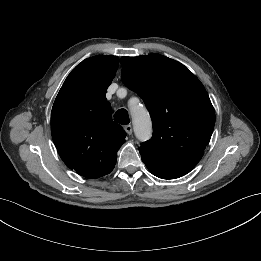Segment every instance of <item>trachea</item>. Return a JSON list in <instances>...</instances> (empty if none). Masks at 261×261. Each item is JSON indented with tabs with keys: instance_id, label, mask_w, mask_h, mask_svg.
<instances>
[{
	"instance_id": "1",
	"label": "trachea",
	"mask_w": 261,
	"mask_h": 261,
	"mask_svg": "<svg viewBox=\"0 0 261 261\" xmlns=\"http://www.w3.org/2000/svg\"><path fill=\"white\" fill-rule=\"evenodd\" d=\"M114 120L122 125L129 124L130 119L127 110L123 108L119 109L114 115Z\"/></svg>"
}]
</instances>
